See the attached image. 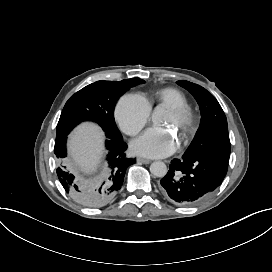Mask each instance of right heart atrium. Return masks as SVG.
<instances>
[{"instance_id": "1", "label": "right heart atrium", "mask_w": 272, "mask_h": 272, "mask_svg": "<svg viewBox=\"0 0 272 272\" xmlns=\"http://www.w3.org/2000/svg\"><path fill=\"white\" fill-rule=\"evenodd\" d=\"M116 117L127 134L136 136L150 120L151 105L143 95L128 93L120 99Z\"/></svg>"}]
</instances>
